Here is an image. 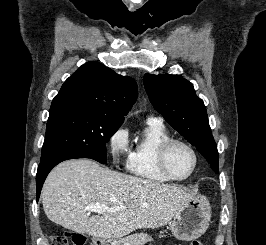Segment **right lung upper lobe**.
<instances>
[{"mask_svg": "<svg viewBox=\"0 0 266 245\" xmlns=\"http://www.w3.org/2000/svg\"><path fill=\"white\" fill-rule=\"evenodd\" d=\"M138 95L137 84L98 62L82 65L63 84L52 101L50 115L91 110L124 119Z\"/></svg>", "mask_w": 266, "mask_h": 245, "instance_id": "cb5924a9", "label": "right lung upper lobe"}]
</instances>
